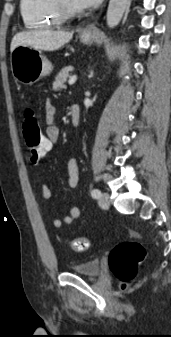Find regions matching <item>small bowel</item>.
I'll list each match as a JSON object with an SVG mask.
<instances>
[{"mask_svg":"<svg viewBox=\"0 0 171 337\" xmlns=\"http://www.w3.org/2000/svg\"><path fill=\"white\" fill-rule=\"evenodd\" d=\"M56 108L51 101H48L45 106V119H46V139L51 141V145L56 143L60 136L59 127L54 123V115ZM67 173H68V184L71 188L75 189L79 182V164L77 158H71L67 162ZM41 193L44 199H50L51 190L47 184H42ZM80 216V209L78 207H73L70 209L69 213L64 217L65 224H72ZM60 219L53 220V226L56 229H60L63 225Z\"/></svg>","mask_w":171,"mask_h":337,"instance_id":"1","label":"small bowel"}]
</instances>
